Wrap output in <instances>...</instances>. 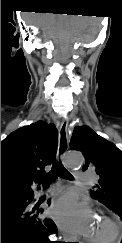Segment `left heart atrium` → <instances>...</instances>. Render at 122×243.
<instances>
[{
    "label": "left heart atrium",
    "instance_id": "39dd6f15",
    "mask_svg": "<svg viewBox=\"0 0 122 243\" xmlns=\"http://www.w3.org/2000/svg\"><path fill=\"white\" fill-rule=\"evenodd\" d=\"M51 215L68 232L87 235L94 222V213L85 202H80L74 195L69 194L57 200Z\"/></svg>",
    "mask_w": 122,
    "mask_h": 243
}]
</instances>
